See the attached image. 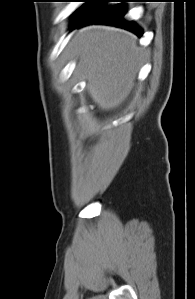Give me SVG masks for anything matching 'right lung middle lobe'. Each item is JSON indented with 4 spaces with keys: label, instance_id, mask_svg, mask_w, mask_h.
<instances>
[{
    "label": "right lung middle lobe",
    "instance_id": "obj_1",
    "mask_svg": "<svg viewBox=\"0 0 195 299\" xmlns=\"http://www.w3.org/2000/svg\"><path fill=\"white\" fill-rule=\"evenodd\" d=\"M94 2L95 0H86V2H84V4L74 14L75 22L86 13V11L92 6Z\"/></svg>",
    "mask_w": 195,
    "mask_h": 299
}]
</instances>
